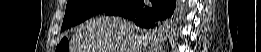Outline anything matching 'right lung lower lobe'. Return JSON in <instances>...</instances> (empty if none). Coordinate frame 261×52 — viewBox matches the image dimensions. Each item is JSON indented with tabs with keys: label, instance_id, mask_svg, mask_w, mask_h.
<instances>
[{
	"label": "right lung lower lobe",
	"instance_id": "obj_1",
	"mask_svg": "<svg viewBox=\"0 0 261 52\" xmlns=\"http://www.w3.org/2000/svg\"><path fill=\"white\" fill-rule=\"evenodd\" d=\"M152 5H144L143 0H124L117 7L105 11L106 15H118L133 20L136 25L153 28L164 23L174 12L176 0H150Z\"/></svg>",
	"mask_w": 261,
	"mask_h": 52
}]
</instances>
